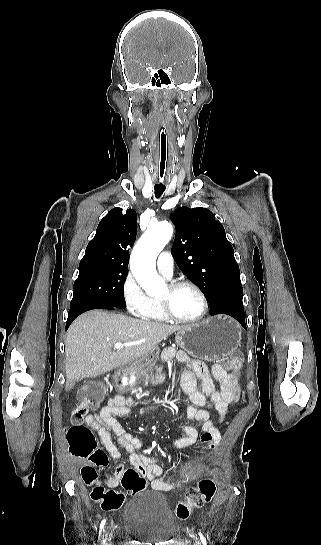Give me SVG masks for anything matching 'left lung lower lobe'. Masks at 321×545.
<instances>
[{
    "label": "left lung lower lobe",
    "instance_id": "obj_1",
    "mask_svg": "<svg viewBox=\"0 0 321 545\" xmlns=\"http://www.w3.org/2000/svg\"><path fill=\"white\" fill-rule=\"evenodd\" d=\"M242 298V285L227 288L221 291L212 301L209 302V306L211 308L210 314L230 315L246 329Z\"/></svg>",
    "mask_w": 321,
    "mask_h": 545
}]
</instances>
